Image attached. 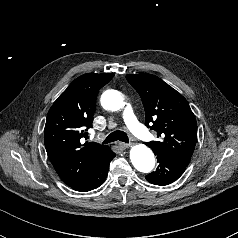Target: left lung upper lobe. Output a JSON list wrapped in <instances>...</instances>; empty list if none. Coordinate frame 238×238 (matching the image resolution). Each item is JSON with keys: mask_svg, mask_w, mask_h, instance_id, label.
Wrapping results in <instances>:
<instances>
[{"mask_svg": "<svg viewBox=\"0 0 238 238\" xmlns=\"http://www.w3.org/2000/svg\"><path fill=\"white\" fill-rule=\"evenodd\" d=\"M126 78L141 97L145 125L159 137L147 145L154 154L189 161L197 140V123L186 99L157 76L129 74Z\"/></svg>", "mask_w": 238, "mask_h": 238, "instance_id": "left-lung-upper-lobe-1", "label": "left lung upper lobe"}]
</instances>
